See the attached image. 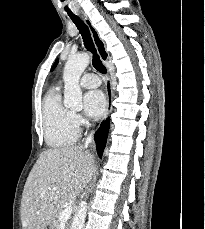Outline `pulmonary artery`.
I'll return each mask as SVG.
<instances>
[{
    "label": "pulmonary artery",
    "mask_w": 205,
    "mask_h": 229,
    "mask_svg": "<svg viewBox=\"0 0 205 229\" xmlns=\"http://www.w3.org/2000/svg\"><path fill=\"white\" fill-rule=\"evenodd\" d=\"M80 84L85 88H96L101 84V80L94 73H86L81 77Z\"/></svg>",
    "instance_id": "obj_1"
}]
</instances>
